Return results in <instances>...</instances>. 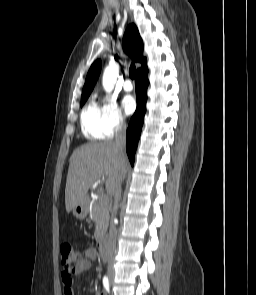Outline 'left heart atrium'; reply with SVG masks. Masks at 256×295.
Returning <instances> with one entry per match:
<instances>
[{"label":"left heart atrium","instance_id":"left-heart-atrium-1","mask_svg":"<svg viewBox=\"0 0 256 295\" xmlns=\"http://www.w3.org/2000/svg\"><path fill=\"white\" fill-rule=\"evenodd\" d=\"M122 107L126 114H131L136 108L135 99L131 95H126L122 98Z\"/></svg>","mask_w":256,"mask_h":295}]
</instances>
